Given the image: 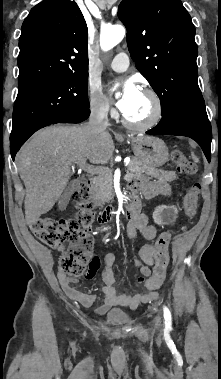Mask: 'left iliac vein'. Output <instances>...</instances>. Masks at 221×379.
<instances>
[{"label":"left iliac vein","instance_id":"1","mask_svg":"<svg viewBox=\"0 0 221 379\" xmlns=\"http://www.w3.org/2000/svg\"><path fill=\"white\" fill-rule=\"evenodd\" d=\"M155 324H156L157 327L160 326V317H157V318L155 319Z\"/></svg>","mask_w":221,"mask_h":379}]
</instances>
